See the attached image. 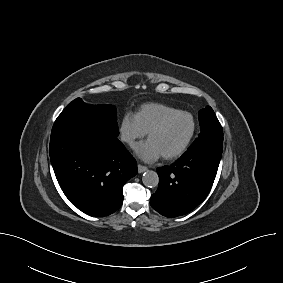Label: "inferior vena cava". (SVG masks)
<instances>
[{
  "label": "inferior vena cava",
  "mask_w": 283,
  "mask_h": 283,
  "mask_svg": "<svg viewBox=\"0 0 283 283\" xmlns=\"http://www.w3.org/2000/svg\"><path fill=\"white\" fill-rule=\"evenodd\" d=\"M121 139L125 142H128V143H130L132 141V137L129 136V135H126V134H123Z\"/></svg>",
  "instance_id": "602c4592"
}]
</instances>
